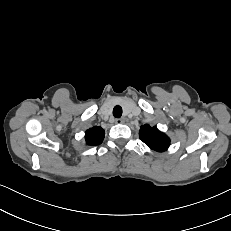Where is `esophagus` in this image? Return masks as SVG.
I'll return each instance as SVG.
<instances>
[{
    "mask_svg": "<svg viewBox=\"0 0 231 231\" xmlns=\"http://www.w3.org/2000/svg\"><path fill=\"white\" fill-rule=\"evenodd\" d=\"M116 124H123L125 122V120L123 118H117L114 121Z\"/></svg>",
    "mask_w": 231,
    "mask_h": 231,
    "instance_id": "obj_1",
    "label": "esophagus"
}]
</instances>
